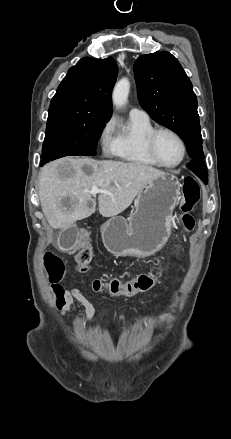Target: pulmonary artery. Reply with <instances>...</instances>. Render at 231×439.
<instances>
[{
  "label": "pulmonary artery",
  "instance_id": "pulmonary-artery-1",
  "mask_svg": "<svg viewBox=\"0 0 231 439\" xmlns=\"http://www.w3.org/2000/svg\"><path fill=\"white\" fill-rule=\"evenodd\" d=\"M129 115L133 117L149 118L147 112L140 108H132Z\"/></svg>",
  "mask_w": 231,
  "mask_h": 439
}]
</instances>
